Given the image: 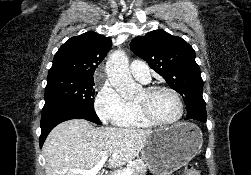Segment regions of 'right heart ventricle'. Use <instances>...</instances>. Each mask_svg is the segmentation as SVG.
Segmentation results:
<instances>
[{
	"label": "right heart ventricle",
	"mask_w": 251,
	"mask_h": 175,
	"mask_svg": "<svg viewBox=\"0 0 251 175\" xmlns=\"http://www.w3.org/2000/svg\"><path fill=\"white\" fill-rule=\"evenodd\" d=\"M118 125L123 128H141L152 126L144 117H142L138 113L136 106L134 105H131L130 112L120 123H118Z\"/></svg>",
	"instance_id": "right-heart-ventricle-1"
}]
</instances>
